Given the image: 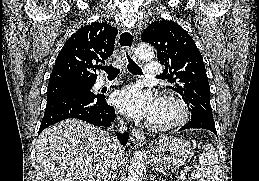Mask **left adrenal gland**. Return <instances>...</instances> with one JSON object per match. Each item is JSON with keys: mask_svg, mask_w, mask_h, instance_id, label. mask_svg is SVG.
I'll return each instance as SVG.
<instances>
[{"mask_svg": "<svg viewBox=\"0 0 259 181\" xmlns=\"http://www.w3.org/2000/svg\"><path fill=\"white\" fill-rule=\"evenodd\" d=\"M150 180H151V181H155V176L151 174V175H150ZM156 181H157V180H156Z\"/></svg>", "mask_w": 259, "mask_h": 181, "instance_id": "1", "label": "left adrenal gland"}]
</instances>
